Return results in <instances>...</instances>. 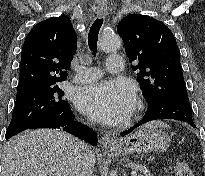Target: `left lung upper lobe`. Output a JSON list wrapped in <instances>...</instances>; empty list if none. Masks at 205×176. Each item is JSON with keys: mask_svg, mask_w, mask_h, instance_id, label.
<instances>
[{"mask_svg": "<svg viewBox=\"0 0 205 176\" xmlns=\"http://www.w3.org/2000/svg\"><path fill=\"white\" fill-rule=\"evenodd\" d=\"M129 61H138L137 74L148 103L172 90H186L180 53L173 33L150 16L131 14L117 26Z\"/></svg>", "mask_w": 205, "mask_h": 176, "instance_id": "1", "label": "left lung upper lobe"}]
</instances>
